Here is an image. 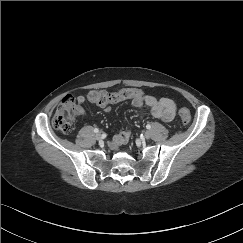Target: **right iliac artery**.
I'll return each mask as SVG.
<instances>
[{
  "instance_id": "right-iliac-artery-1",
  "label": "right iliac artery",
  "mask_w": 243,
  "mask_h": 243,
  "mask_svg": "<svg viewBox=\"0 0 243 243\" xmlns=\"http://www.w3.org/2000/svg\"><path fill=\"white\" fill-rule=\"evenodd\" d=\"M94 132H95V133H98V132H99V129L95 128V129H94Z\"/></svg>"
}]
</instances>
